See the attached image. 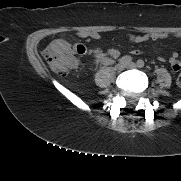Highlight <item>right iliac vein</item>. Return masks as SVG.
Returning <instances> with one entry per match:
<instances>
[{
	"label": "right iliac vein",
	"mask_w": 181,
	"mask_h": 181,
	"mask_svg": "<svg viewBox=\"0 0 181 181\" xmlns=\"http://www.w3.org/2000/svg\"><path fill=\"white\" fill-rule=\"evenodd\" d=\"M126 68V64L124 63H118L116 66H115V70L117 72H121L122 70H124Z\"/></svg>",
	"instance_id": "obj_1"
}]
</instances>
